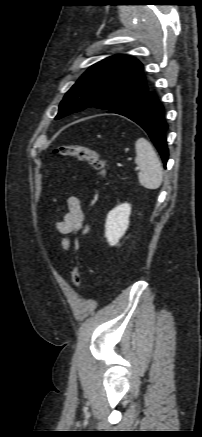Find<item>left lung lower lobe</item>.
Returning a JSON list of instances; mask_svg holds the SVG:
<instances>
[{
  "label": "left lung lower lobe",
  "instance_id": "0a47b994",
  "mask_svg": "<svg viewBox=\"0 0 202 437\" xmlns=\"http://www.w3.org/2000/svg\"><path fill=\"white\" fill-rule=\"evenodd\" d=\"M108 113L123 115L140 125L149 135L166 166L169 151L165 132L168 126L164 120L163 106L154 92L147 90L110 109Z\"/></svg>",
  "mask_w": 202,
  "mask_h": 437
}]
</instances>
